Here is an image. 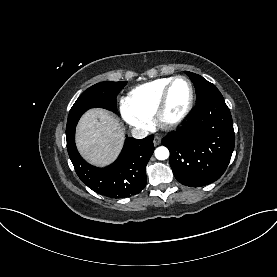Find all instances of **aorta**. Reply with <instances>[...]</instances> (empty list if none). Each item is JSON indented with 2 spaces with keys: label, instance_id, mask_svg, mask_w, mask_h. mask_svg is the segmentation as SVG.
<instances>
[{
  "label": "aorta",
  "instance_id": "obj_1",
  "mask_svg": "<svg viewBox=\"0 0 277 277\" xmlns=\"http://www.w3.org/2000/svg\"><path fill=\"white\" fill-rule=\"evenodd\" d=\"M155 157L158 160H165L169 157V150L164 146H160L155 150Z\"/></svg>",
  "mask_w": 277,
  "mask_h": 277
}]
</instances>
